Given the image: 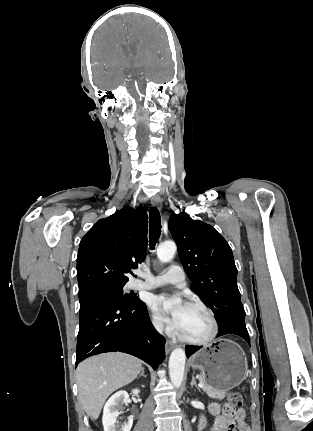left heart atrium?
Masks as SVG:
<instances>
[{
	"instance_id": "obj_1",
	"label": "left heart atrium",
	"mask_w": 313,
	"mask_h": 431,
	"mask_svg": "<svg viewBox=\"0 0 313 431\" xmlns=\"http://www.w3.org/2000/svg\"><path fill=\"white\" fill-rule=\"evenodd\" d=\"M172 298L165 295L155 296L151 301V309L166 321L180 330L182 326V316L186 305L181 304L174 312H170Z\"/></svg>"
}]
</instances>
